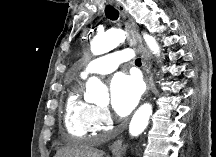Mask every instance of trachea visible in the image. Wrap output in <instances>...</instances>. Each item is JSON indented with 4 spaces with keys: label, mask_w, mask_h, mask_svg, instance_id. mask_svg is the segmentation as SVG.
<instances>
[{
    "label": "trachea",
    "mask_w": 216,
    "mask_h": 157,
    "mask_svg": "<svg viewBox=\"0 0 216 157\" xmlns=\"http://www.w3.org/2000/svg\"><path fill=\"white\" fill-rule=\"evenodd\" d=\"M105 15H106V17L108 19L114 21V20L118 19V17H119V11L115 7H113L111 5H106ZM135 64L136 65H141V59L140 58L136 59L135 60Z\"/></svg>",
    "instance_id": "trachea-1"
}]
</instances>
